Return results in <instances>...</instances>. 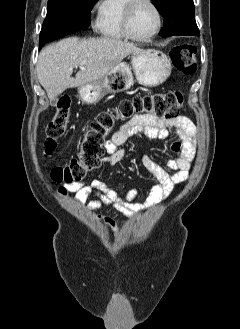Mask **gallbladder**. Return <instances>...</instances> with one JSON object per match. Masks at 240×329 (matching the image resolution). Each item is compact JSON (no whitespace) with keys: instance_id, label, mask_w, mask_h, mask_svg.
Instances as JSON below:
<instances>
[{"instance_id":"gallbladder-1","label":"gallbladder","mask_w":240,"mask_h":329,"mask_svg":"<svg viewBox=\"0 0 240 329\" xmlns=\"http://www.w3.org/2000/svg\"><path fill=\"white\" fill-rule=\"evenodd\" d=\"M55 103V100L54 101H52V104H54Z\"/></svg>"}]
</instances>
